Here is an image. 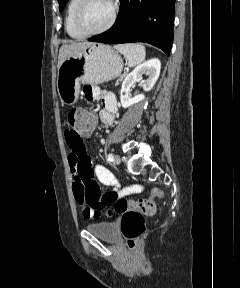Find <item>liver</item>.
Listing matches in <instances>:
<instances>
[{
	"instance_id": "liver-1",
	"label": "liver",
	"mask_w": 240,
	"mask_h": 288,
	"mask_svg": "<svg viewBox=\"0 0 240 288\" xmlns=\"http://www.w3.org/2000/svg\"><path fill=\"white\" fill-rule=\"evenodd\" d=\"M90 44H91L90 42L85 41L63 45L59 50L58 65H57L58 68L67 58L71 57L76 53H79Z\"/></svg>"
}]
</instances>
